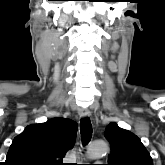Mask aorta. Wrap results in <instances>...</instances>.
I'll return each mask as SVG.
<instances>
[{
    "label": "aorta",
    "instance_id": "762f6f07",
    "mask_svg": "<svg viewBox=\"0 0 165 165\" xmlns=\"http://www.w3.org/2000/svg\"><path fill=\"white\" fill-rule=\"evenodd\" d=\"M108 151V145L104 141L93 142L87 149V157L96 159L103 157Z\"/></svg>",
    "mask_w": 165,
    "mask_h": 165
}]
</instances>
